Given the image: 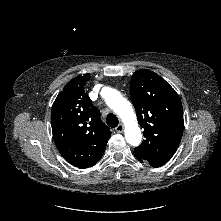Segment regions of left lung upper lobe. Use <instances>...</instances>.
Returning <instances> with one entry per match:
<instances>
[{
  "instance_id": "5c2ea615",
  "label": "left lung upper lobe",
  "mask_w": 221,
  "mask_h": 221,
  "mask_svg": "<svg viewBox=\"0 0 221 221\" xmlns=\"http://www.w3.org/2000/svg\"><path fill=\"white\" fill-rule=\"evenodd\" d=\"M130 97L145 136L134 156L160 167L174 155L183 135L181 100L162 77L148 69L132 75Z\"/></svg>"
}]
</instances>
